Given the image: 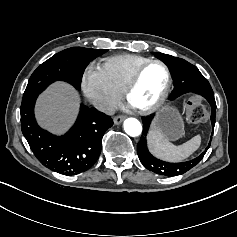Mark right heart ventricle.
I'll return each instance as SVG.
<instances>
[{
    "mask_svg": "<svg viewBox=\"0 0 237 237\" xmlns=\"http://www.w3.org/2000/svg\"><path fill=\"white\" fill-rule=\"evenodd\" d=\"M149 60L140 55L120 54L107 57L101 67L113 86L122 94L135 72Z\"/></svg>",
    "mask_w": 237,
    "mask_h": 237,
    "instance_id": "obj_1",
    "label": "right heart ventricle"
}]
</instances>
